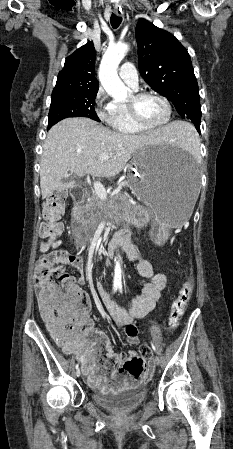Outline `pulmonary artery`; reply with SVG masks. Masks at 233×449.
<instances>
[{
	"label": "pulmonary artery",
	"instance_id": "obj_1",
	"mask_svg": "<svg viewBox=\"0 0 233 449\" xmlns=\"http://www.w3.org/2000/svg\"><path fill=\"white\" fill-rule=\"evenodd\" d=\"M119 76L124 83H126L133 89H136L138 87V73L132 63H123L119 70Z\"/></svg>",
	"mask_w": 233,
	"mask_h": 449
}]
</instances>
